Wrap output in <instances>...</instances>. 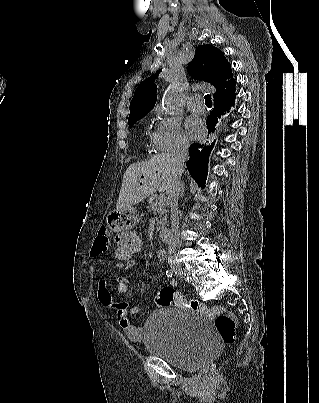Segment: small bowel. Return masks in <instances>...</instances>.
<instances>
[{
    "label": "small bowel",
    "mask_w": 319,
    "mask_h": 403,
    "mask_svg": "<svg viewBox=\"0 0 319 403\" xmlns=\"http://www.w3.org/2000/svg\"><path fill=\"white\" fill-rule=\"evenodd\" d=\"M143 244V243H142ZM109 248V238H108V230L106 228H100L98 231L97 238L94 242V245L91 250V257L92 258H99ZM166 257L165 252L159 253V259L164 260ZM114 282H124L125 287L127 284L126 279H119L118 277L114 280ZM170 286H175V281H170ZM98 287V294L101 303L112 309L115 313V318L122 328L125 335L133 342H139L143 338L144 330L142 327H136L132 323V318L136 315L139 311L138 307H129L128 302H121L118 303L114 300L113 295L108 290L107 287V280L105 278H100L97 284ZM119 292V291H118Z\"/></svg>",
    "instance_id": "1"
}]
</instances>
